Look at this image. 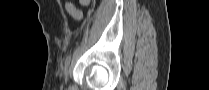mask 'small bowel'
Wrapping results in <instances>:
<instances>
[{
  "label": "small bowel",
  "instance_id": "c3829d8e",
  "mask_svg": "<svg viewBox=\"0 0 209 90\" xmlns=\"http://www.w3.org/2000/svg\"><path fill=\"white\" fill-rule=\"evenodd\" d=\"M80 3L82 5H88L90 3V1L81 0ZM65 9L74 19L79 20L82 18L81 11L79 9H77L71 2H66Z\"/></svg>",
  "mask_w": 209,
  "mask_h": 90
}]
</instances>
